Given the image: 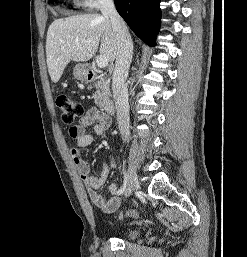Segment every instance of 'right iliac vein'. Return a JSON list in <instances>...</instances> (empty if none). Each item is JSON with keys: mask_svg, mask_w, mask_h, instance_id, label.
Returning <instances> with one entry per match:
<instances>
[{"mask_svg": "<svg viewBox=\"0 0 247 257\" xmlns=\"http://www.w3.org/2000/svg\"><path fill=\"white\" fill-rule=\"evenodd\" d=\"M136 188H138L136 173L133 166H130L128 171L127 187L124 192L125 197H129L132 194V191Z\"/></svg>", "mask_w": 247, "mask_h": 257, "instance_id": "right-iliac-vein-1", "label": "right iliac vein"}]
</instances>
